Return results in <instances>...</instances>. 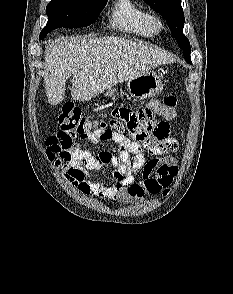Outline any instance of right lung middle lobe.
I'll return each mask as SVG.
<instances>
[{"label":"right lung middle lobe","instance_id":"obj_1","mask_svg":"<svg viewBox=\"0 0 233 294\" xmlns=\"http://www.w3.org/2000/svg\"><path fill=\"white\" fill-rule=\"evenodd\" d=\"M107 0H51L46 7L48 22L40 33L43 39L57 28H80L91 25Z\"/></svg>","mask_w":233,"mask_h":294}]
</instances>
